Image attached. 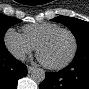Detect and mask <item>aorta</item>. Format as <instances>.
<instances>
[{
	"label": "aorta",
	"instance_id": "1",
	"mask_svg": "<svg viewBox=\"0 0 89 89\" xmlns=\"http://www.w3.org/2000/svg\"><path fill=\"white\" fill-rule=\"evenodd\" d=\"M30 77L36 83H41L45 79V71L42 68H33Z\"/></svg>",
	"mask_w": 89,
	"mask_h": 89
}]
</instances>
